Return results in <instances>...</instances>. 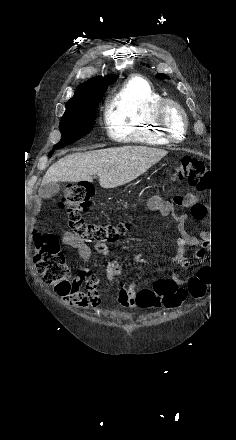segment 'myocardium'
Segmentation results:
<instances>
[{
	"instance_id": "obj_1",
	"label": "myocardium",
	"mask_w": 236,
	"mask_h": 440,
	"mask_svg": "<svg viewBox=\"0 0 236 440\" xmlns=\"http://www.w3.org/2000/svg\"><path fill=\"white\" fill-rule=\"evenodd\" d=\"M174 109L176 110L182 120V134L180 137H177L172 129L169 126L167 115L168 112ZM154 120L156 125L160 131V133L169 141V142H181L184 140L185 135L188 129V117L183 109V107L176 101L172 99L164 98L155 108L154 112Z\"/></svg>"
}]
</instances>
